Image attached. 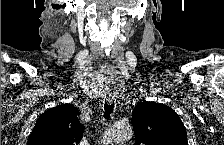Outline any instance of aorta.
<instances>
[{
  "label": "aorta",
  "mask_w": 224,
  "mask_h": 145,
  "mask_svg": "<svg viewBox=\"0 0 224 145\" xmlns=\"http://www.w3.org/2000/svg\"><path fill=\"white\" fill-rule=\"evenodd\" d=\"M132 137V128L125 123H116L109 127L104 134L105 143H120Z\"/></svg>",
  "instance_id": "aorta-1"
}]
</instances>
